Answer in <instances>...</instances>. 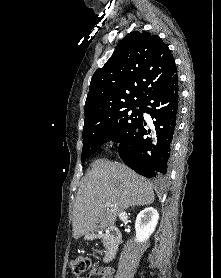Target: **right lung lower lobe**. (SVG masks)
I'll return each mask as SVG.
<instances>
[{
    "mask_svg": "<svg viewBox=\"0 0 221 278\" xmlns=\"http://www.w3.org/2000/svg\"><path fill=\"white\" fill-rule=\"evenodd\" d=\"M177 73L153 89L142 102L143 112L155 119L150 134L144 118L120 142L119 155L127 166L147 177L162 179L167 173L179 115Z\"/></svg>",
    "mask_w": 221,
    "mask_h": 278,
    "instance_id": "right-lung-lower-lobe-1",
    "label": "right lung lower lobe"
}]
</instances>
